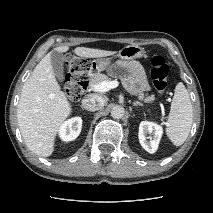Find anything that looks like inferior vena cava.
<instances>
[{
	"label": "inferior vena cava",
	"instance_id": "obj_1",
	"mask_svg": "<svg viewBox=\"0 0 213 213\" xmlns=\"http://www.w3.org/2000/svg\"><path fill=\"white\" fill-rule=\"evenodd\" d=\"M107 103V98L98 95H88L82 100V106L88 111H97Z\"/></svg>",
	"mask_w": 213,
	"mask_h": 213
}]
</instances>
